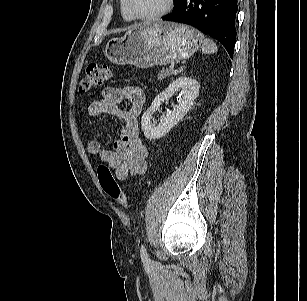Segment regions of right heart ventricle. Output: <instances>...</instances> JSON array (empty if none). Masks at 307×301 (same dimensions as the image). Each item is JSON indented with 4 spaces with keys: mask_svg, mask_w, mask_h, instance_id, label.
Segmentation results:
<instances>
[{
    "mask_svg": "<svg viewBox=\"0 0 307 301\" xmlns=\"http://www.w3.org/2000/svg\"><path fill=\"white\" fill-rule=\"evenodd\" d=\"M120 10H121V14H122L123 18L126 21H134L135 20V18L132 16V14L130 13V11L127 7L126 0H120Z\"/></svg>",
    "mask_w": 307,
    "mask_h": 301,
    "instance_id": "right-heart-ventricle-1",
    "label": "right heart ventricle"
}]
</instances>
